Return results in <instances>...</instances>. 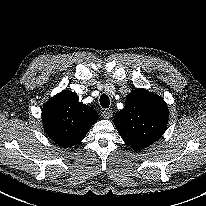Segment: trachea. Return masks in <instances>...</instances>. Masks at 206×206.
I'll list each match as a JSON object with an SVG mask.
<instances>
[{"label": "trachea", "instance_id": "3493384b", "mask_svg": "<svg viewBox=\"0 0 206 206\" xmlns=\"http://www.w3.org/2000/svg\"><path fill=\"white\" fill-rule=\"evenodd\" d=\"M99 101H100V105L103 108H109L110 100H109V97L106 94L101 95Z\"/></svg>", "mask_w": 206, "mask_h": 206}]
</instances>
